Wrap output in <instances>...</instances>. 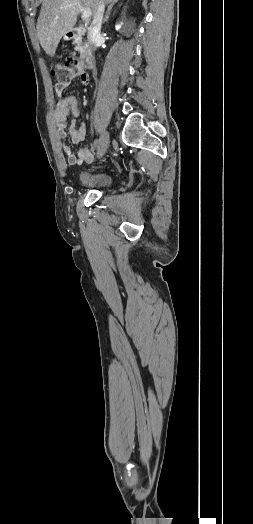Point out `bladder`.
Returning a JSON list of instances; mask_svg holds the SVG:
<instances>
[{
  "label": "bladder",
  "instance_id": "obj_1",
  "mask_svg": "<svg viewBox=\"0 0 253 524\" xmlns=\"http://www.w3.org/2000/svg\"><path fill=\"white\" fill-rule=\"evenodd\" d=\"M112 175L109 173H94L82 177V186L90 190H104L111 186Z\"/></svg>",
  "mask_w": 253,
  "mask_h": 524
}]
</instances>
